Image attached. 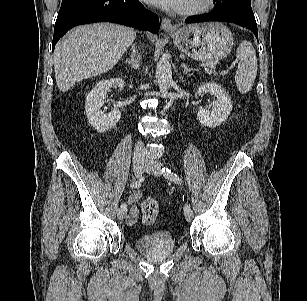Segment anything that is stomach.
Here are the masks:
<instances>
[{
  "mask_svg": "<svg viewBox=\"0 0 307 301\" xmlns=\"http://www.w3.org/2000/svg\"><path fill=\"white\" fill-rule=\"evenodd\" d=\"M170 35L182 52L202 62L219 61L233 47L231 31L220 22L186 25L171 31Z\"/></svg>",
  "mask_w": 307,
  "mask_h": 301,
  "instance_id": "stomach-1",
  "label": "stomach"
}]
</instances>
